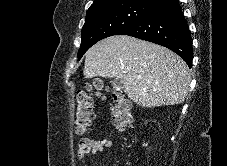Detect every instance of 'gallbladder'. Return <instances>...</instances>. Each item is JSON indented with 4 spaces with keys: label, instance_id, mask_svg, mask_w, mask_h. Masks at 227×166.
<instances>
[{
    "label": "gallbladder",
    "instance_id": "bac80fb5",
    "mask_svg": "<svg viewBox=\"0 0 227 166\" xmlns=\"http://www.w3.org/2000/svg\"><path fill=\"white\" fill-rule=\"evenodd\" d=\"M111 85L115 91H120L123 89V83L120 79L115 78L111 81Z\"/></svg>",
    "mask_w": 227,
    "mask_h": 166
}]
</instances>
